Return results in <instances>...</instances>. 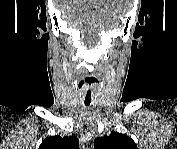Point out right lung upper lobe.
I'll list each match as a JSON object with an SVG mask.
<instances>
[{
  "mask_svg": "<svg viewBox=\"0 0 177 149\" xmlns=\"http://www.w3.org/2000/svg\"><path fill=\"white\" fill-rule=\"evenodd\" d=\"M39 149H79V142L75 136L60 137L55 135L46 138Z\"/></svg>",
  "mask_w": 177,
  "mask_h": 149,
  "instance_id": "right-lung-upper-lobe-1",
  "label": "right lung upper lobe"
}]
</instances>
